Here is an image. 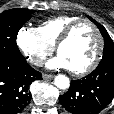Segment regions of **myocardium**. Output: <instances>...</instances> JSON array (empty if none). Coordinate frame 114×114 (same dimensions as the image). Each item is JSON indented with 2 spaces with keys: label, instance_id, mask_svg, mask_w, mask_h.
I'll return each mask as SVG.
<instances>
[{
  "label": "myocardium",
  "instance_id": "obj_1",
  "mask_svg": "<svg viewBox=\"0 0 114 114\" xmlns=\"http://www.w3.org/2000/svg\"><path fill=\"white\" fill-rule=\"evenodd\" d=\"M83 23L90 25L92 27V29L94 30V32L97 36V39H98V46H97V50H96V53H95L93 59L87 66H85L81 69H70L71 72L77 76H83V75H86V74L92 72L98 66V64L101 60L105 42H104L103 35H102L100 29L98 28V26L90 19L79 18V19L75 20L74 22H72L71 24H69L65 28V30L61 33V35L59 36V38L57 39V42L55 44V49L59 53L60 47L71 37L74 30L80 24H83Z\"/></svg>",
  "mask_w": 114,
  "mask_h": 114
}]
</instances>
